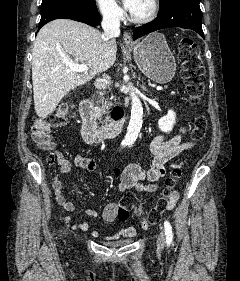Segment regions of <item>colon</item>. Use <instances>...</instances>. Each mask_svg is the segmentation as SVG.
<instances>
[{"label":"colon","instance_id":"obj_1","mask_svg":"<svg viewBox=\"0 0 240 281\" xmlns=\"http://www.w3.org/2000/svg\"><path fill=\"white\" fill-rule=\"evenodd\" d=\"M178 60L182 69L183 80L188 101L191 104H198L204 95V65L200 56V50L195 41L190 38H182L178 44ZM70 107L66 103L60 104L53 112L43 118H38L32 125V138L37 146L43 150H51L54 146L51 133L54 129L66 123ZM207 130V120L204 116H197L193 123L192 134L195 139H202ZM60 155L51 153L48 161L51 164H58ZM181 168L176 167L170 177L165 181L162 196L156 205L147 213L143 214L140 201L134 195L124 197L118 203L117 218L125 221L131 210H134L143 228L156 224L161 214L167 209L170 196L181 177Z\"/></svg>","mask_w":240,"mask_h":281}]
</instances>
